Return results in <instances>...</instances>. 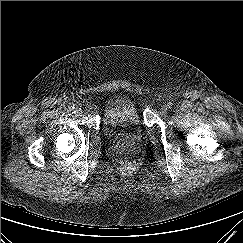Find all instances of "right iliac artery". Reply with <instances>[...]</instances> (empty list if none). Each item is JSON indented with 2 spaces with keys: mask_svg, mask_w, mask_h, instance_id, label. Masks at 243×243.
<instances>
[{
  "mask_svg": "<svg viewBox=\"0 0 243 243\" xmlns=\"http://www.w3.org/2000/svg\"><path fill=\"white\" fill-rule=\"evenodd\" d=\"M70 111H71L72 113H76V108H75V107H72Z\"/></svg>",
  "mask_w": 243,
  "mask_h": 243,
  "instance_id": "obj_1",
  "label": "right iliac artery"
}]
</instances>
